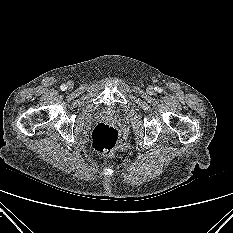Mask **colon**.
Returning <instances> with one entry per match:
<instances>
[{"instance_id":"colon-1","label":"colon","mask_w":233,"mask_h":233,"mask_svg":"<svg viewBox=\"0 0 233 233\" xmlns=\"http://www.w3.org/2000/svg\"><path fill=\"white\" fill-rule=\"evenodd\" d=\"M90 140L95 150L110 153L117 149L120 137L114 126L100 122L93 128Z\"/></svg>"}]
</instances>
